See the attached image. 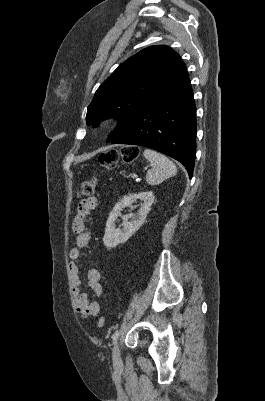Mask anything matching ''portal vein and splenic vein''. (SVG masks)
I'll return each instance as SVG.
<instances>
[{
	"mask_svg": "<svg viewBox=\"0 0 265 401\" xmlns=\"http://www.w3.org/2000/svg\"><path fill=\"white\" fill-rule=\"evenodd\" d=\"M138 175L137 174H133L132 177H129V180H133V179H137Z\"/></svg>",
	"mask_w": 265,
	"mask_h": 401,
	"instance_id": "obj_1",
	"label": "portal vein and splenic vein"
}]
</instances>
